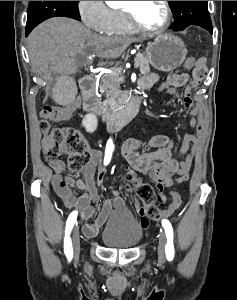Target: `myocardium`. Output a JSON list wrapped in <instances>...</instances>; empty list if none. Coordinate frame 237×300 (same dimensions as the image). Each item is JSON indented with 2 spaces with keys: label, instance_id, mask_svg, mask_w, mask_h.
<instances>
[{
  "label": "myocardium",
  "instance_id": "obj_1",
  "mask_svg": "<svg viewBox=\"0 0 237 300\" xmlns=\"http://www.w3.org/2000/svg\"><path fill=\"white\" fill-rule=\"evenodd\" d=\"M164 6H165V20L164 23L158 27V28H148L144 25H142L134 12V9L132 6H124L123 7V12L130 23V25L136 30V31H141V32H148V33H163L165 32L168 27L170 26L171 20H172V10H171V5L169 1H163Z\"/></svg>",
  "mask_w": 237,
  "mask_h": 300
}]
</instances>
